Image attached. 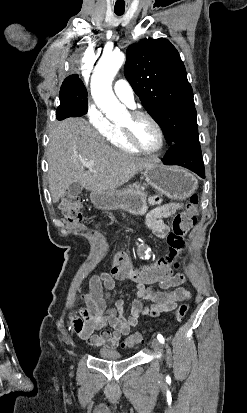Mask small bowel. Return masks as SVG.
<instances>
[{"label":"small bowel","mask_w":247,"mask_h":413,"mask_svg":"<svg viewBox=\"0 0 247 413\" xmlns=\"http://www.w3.org/2000/svg\"><path fill=\"white\" fill-rule=\"evenodd\" d=\"M149 204L153 209L147 214V225L158 236L163 237L168 232L163 220L176 213L183 205L163 203L158 196L151 197ZM124 281L123 274L111 277L109 272H102L93 276L90 279L89 291L83 293L77 302L80 316L70 315L68 329L88 345L115 348L120 339L128 335L138 324L140 318L158 317L174 310L180 302L191 297V293L181 286L185 277L180 273H176L174 277H160L159 282H154L160 285L158 290L140 289L139 282H133L136 298L131 302L130 312L126 315L123 299L116 300L113 307L107 306V300L117 289V283ZM122 287L126 288V285L123 284ZM143 300L149 301L150 304L143 305ZM107 327L112 331H108ZM95 331H100V334L96 335Z\"/></svg>","instance_id":"c3829d8e"}]
</instances>
